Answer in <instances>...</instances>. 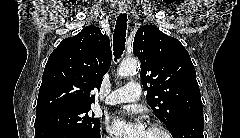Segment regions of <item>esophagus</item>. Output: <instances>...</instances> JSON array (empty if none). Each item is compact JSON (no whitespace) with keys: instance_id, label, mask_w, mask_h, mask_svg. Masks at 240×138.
<instances>
[{"instance_id":"esophagus-1","label":"esophagus","mask_w":240,"mask_h":138,"mask_svg":"<svg viewBox=\"0 0 240 138\" xmlns=\"http://www.w3.org/2000/svg\"><path fill=\"white\" fill-rule=\"evenodd\" d=\"M126 10H127V6L125 4L119 5V9H118L119 13H124V12H126Z\"/></svg>"}]
</instances>
